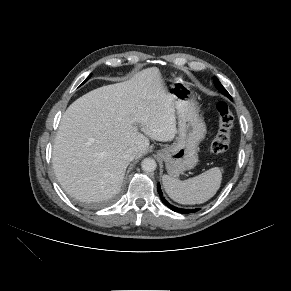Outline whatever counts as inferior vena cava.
I'll return each mask as SVG.
<instances>
[{
	"label": "inferior vena cava",
	"mask_w": 291,
	"mask_h": 291,
	"mask_svg": "<svg viewBox=\"0 0 291 291\" xmlns=\"http://www.w3.org/2000/svg\"><path fill=\"white\" fill-rule=\"evenodd\" d=\"M136 147H131L124 153V158L128 161H132L135 158Z\"/></svg>",
	"instance_id": "602c4592"
}]
</instances>
